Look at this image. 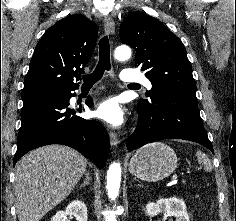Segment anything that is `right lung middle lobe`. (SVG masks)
I'll return each mask as SVG.
<instances>
[{"mask_svg":"<svg viewBox=\"0 0 236 221\" xmlns=\"http://www.w3.org/2000/svg\"><path fill=\"white\" fill-rule=\"evenodd\" d=\"M65 94V90H42L32 93L22 94V100L25 101L30 98L42 97V96H62Z\"/></svg>","mask_w":236,"mask_h":221,"instance_id":"right-lung-middle-lobe-1","label":"right lung middle lobe"}]
</instances>
